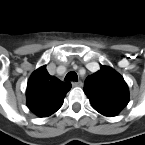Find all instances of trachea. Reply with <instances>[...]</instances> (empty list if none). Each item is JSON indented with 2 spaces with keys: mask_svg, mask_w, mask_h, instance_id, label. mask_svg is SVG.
Wrapping results in <instances>:
<instances>
[{
  "mask_svg": "<svg viewBox=\"0 0 145 145\" xmlns=\"http://www.w3.org/2000/svg\"><path fill=\"white\" fill-rule=\"evenodd\" d=\"M66 80H74V81H78V76L75 72L71 71L69 72L66 76H65Z\"/></svg>",
  "mask_w": 145,
  "mask_h": 145,
  "instance_id": "1",
  "label": "trachea"
}]
</instances>
